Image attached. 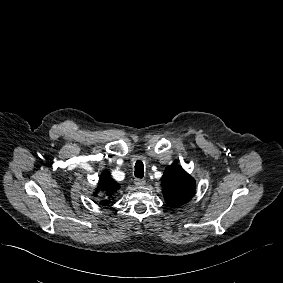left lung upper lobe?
<instances>
[{
  "label": "left lung upper lobe",
  "instance_id": "left-lung-upper-lobe-1",
  "mask_svg": "<svg viewBox=\"0 0 283 283\" xmlns=\"http://www.w3.org/2000/svg\"><path fill=\"white\" fill-rule=\"evenodd\" d=\"M160 180L165 201L171 207L186 204L195 193L194 179L178 164L167 166Z\"/></svg>",
  "mask_w": 283,
  "mask_h": 283
}]
</instances>
